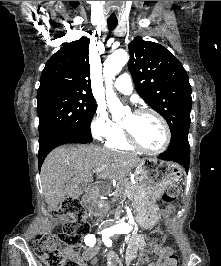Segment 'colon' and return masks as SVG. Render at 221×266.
<instances>
[{
    "label": "colon",
    "instance_id": "colon-1",
    "mask_svg": "<svg viewBox=\"0 0 221 266\" xmlns=\"http://www.w3.org/2000/svg\"><path fill=\"white\" fill-rule=\"evenodd\" d=\"M179 196V189L171 185L163 193L160 202L162 204L173 203ZM57 214L68 221L58 234H39L34 238L33 249L35 254L46 266H77L72 260H67L68 252H75L83 237L89 232L90 225L83 204L77 199L66 200ZM165 233L160 229L150 232L147 238V249L152 252L157 250L165 242ZM62 245L66 248H62ZM167 266H178V258L172 253L169 255Z\"/></svg>",
    "mask_w": 221,
    "mask_h": 266
}]
</instances>
